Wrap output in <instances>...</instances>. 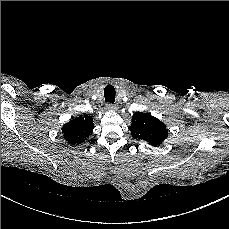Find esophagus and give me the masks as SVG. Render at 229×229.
I'll use <instances>...</instances> for the list:
<instances>
[{
	"label": "esophagus",
	"mask_w": 229,
	"mask_h": 229,
	"mask_svg": "<svg viewBox=\"0 0 229 229\" xmlns=\"http://www.w3.org/2000/svg\"><path fill=\"white\" fill-rule=\"evenodd\" d=\"M106 108L108 110H117L118 109V106H117V104L107 103Z\"/></svg>",
	"instance_id": "esophagus-1"
}]
</instances>
